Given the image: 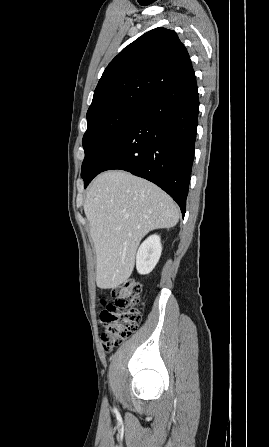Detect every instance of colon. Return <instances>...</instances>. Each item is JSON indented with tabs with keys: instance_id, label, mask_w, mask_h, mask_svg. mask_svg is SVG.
Instances as JSON below:
<instances>
[{
	"instance_id": "colon-1",
	"label": "colon",
	"mask_w": 269,
	"mask_h": 447,
	"mask_svg": "<svg viewBox=\"0 0 269 447\" xmlns=\"http://www.w3.org/2000/svg\"><path fill=\"white\" fill-rule=\"evenodd\" d=\"M142 290L137 280L129 279L112 289L113 302H104L99 317L104 326L101 339L106 350L121 344L139 327L142 321V307L139 304Z\"/></svg>"
}]
</instances>
